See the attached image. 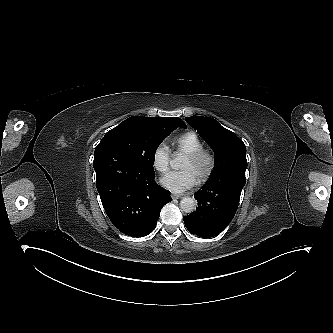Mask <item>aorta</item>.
Returning a JSON list of instances; mask_svg holds the SVG:
<instances>
[{
    "mask_svg": "<svg viewBox=\"0 0 333 333\" xmlns=\"http://www.w3.org/2000/svg\"><path fill=\"white\" fill-rule=\"evenodd\" d=\"M180 208L186 213H191L196 209V201L191 197H184L180 201Z\"/></svg>",
    "mask_w": 333,
    "mask_h": 333,
    "instance_id": "1",
    "label": "aorta"
}]
</instances>
